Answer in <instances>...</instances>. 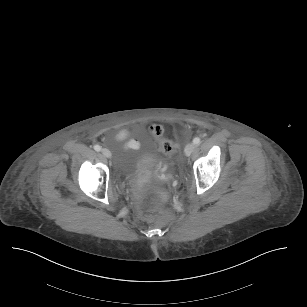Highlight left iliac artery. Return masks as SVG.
<instances>
[{
  "label": "left iliac artery",
  "mask_w": 307,
  "mask_h": 307,
  "mask_svg": "<svg viewBox=\"0 0 307 307\" xmlns=\"http://www.w3.org/2000/svg\"><path fill=\"white\" fill-rule=\"evenodd\" d=\"M200 142H201V139L199 137H196V138L193 139V144H195V145H199Z\"/></svg>",
  "instance_id": "obj_1"
}]
</instances>
